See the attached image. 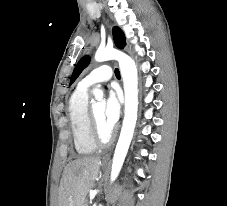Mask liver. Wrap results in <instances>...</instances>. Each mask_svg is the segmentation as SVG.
<instances>
[{"instance_id": "6515ba94", "label": "liver", "mask_w": 227, "mask_h": 206, "mask_svg": "<svg viewBox=\"0 0 227 206\" xmlns=\"http://www.w3.org/2000/svg\"><path fill=\"white\" fill-rule=\"evenodd\" d=\"M99 157H80L64 169L59 186V206H83L86 195L98 176Z\"/></svg>"}]
</instances>
